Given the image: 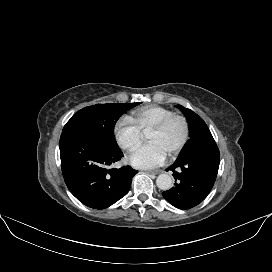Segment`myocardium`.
I'll list each match as a JSON object with an SVG mask.
<instances>
[{
  "label": "myocardium",
  "mask_w": 272,
  "mask_h": 272,
  "mask_svg": "<svg viewBox=\"0 0 272 272\" xmlns=\"http://www.w3.org/2000/svg\"><path fill=\"white\" fill-rule=\"evenodd\" d=\"M174 121H179L181 123L183 131L178 143L168 152L171 156L178 154L184 148L189 139L190 128L187 119L180 114H171L159 121L150 129V131L162 132Z\"/></svg>",
  "instance_id": "myocardium-1"
}]
</instances>
